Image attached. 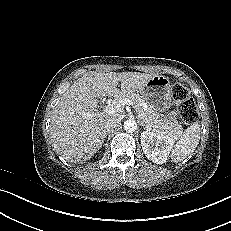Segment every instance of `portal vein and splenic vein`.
<instances>
[{
  "label": "portal vein and splenic vein",
  "mask_w": 231,
  "mask_h": 231,
  "mask_svg": "<svg viewBox=\"0 0 231 231\" xmlns=\"http://www.w3.org/2000/svg\"><path fill=\"white\" fill-rule=\"evenodd\" d=\"M125 105H133V102L129 99H121L116 102L109 103L105 106L104 112L107 114H114L119 112Z\"/></svg>",
  "instance_id": "18ae733b"
}]
</instances>
